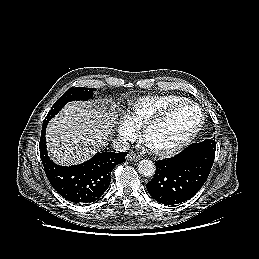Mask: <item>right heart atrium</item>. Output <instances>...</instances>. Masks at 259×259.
<instances>
[{"label": "right heart atrium", "instance_id": "1", "mask_svg": "<svg viewBox=\"0 0 259 259\" xmlns=\"http://www.w3.org/2000/svg\"><path fill=\"white\" fill-rule=\"evenodd\" d=\"M113 124L122 140H132L136 136V127L128 120L126 116L118 115Z\"/></svg>", "mask_w": 259, "mask_h": 259}]
</instances>
